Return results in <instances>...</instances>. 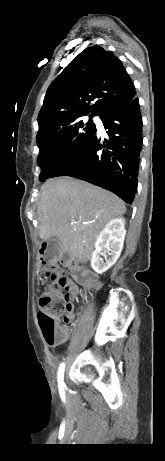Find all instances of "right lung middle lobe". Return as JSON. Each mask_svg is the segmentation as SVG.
Returning a JSON list of instances; mask_svg holds the SVG:
<instances>
[{"instance_id":"1","label":"right lung middle lobe","mask_w":165,"mask_h":461,"mask_svg":"<svg viewBox=\"0 0 165 461\" xmlns=\"http://www.w3.org/2000/svg\"><path fill=\"white\" fill-rule=\"evenodd\" d=\"M78 118L57 124L37 137L40 151L37 159L41 168L40 181L50 178L90 139L96 130L91 119L88 124H84L78 121Z\"/></svg>"}]
</instances>
